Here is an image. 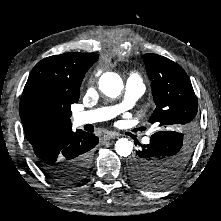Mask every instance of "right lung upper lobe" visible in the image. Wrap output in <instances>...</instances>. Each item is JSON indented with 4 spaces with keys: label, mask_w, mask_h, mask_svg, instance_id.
I'll list each match as a JSON object with an SVG mask.
<instances>
[{
    "label": "right lung upper lobe",
    "mask_w": 221,
    "mask_h": 221,
    "mask_svg": "<svg viewBox=\"0 0 221 221\" xmlns=\"http://www.w3.org/2000/svg\"><path fill=\"white\" fill-rule=\"evenodd\" d=\"M98 57V54L65 53L47 57L35 65L19 107L31 145L47 135L72 129L70 105L78 101L83 77Z\"/></svg>",
    "instance_id": "obj_1"
}]
</instances>
